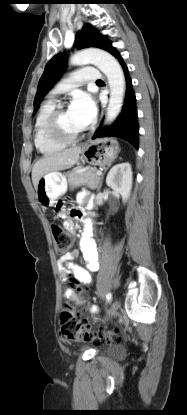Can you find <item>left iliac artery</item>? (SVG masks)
Listing matches in <instances>:
<instances>
[{
  "label": "left iliac artery",
  "mask_w": 187,
  "mask_h": 415,
  "mask_svg": "<svg viewBox=\"0 0 187 415\" xmlns=\"http://www.w3.org/2000/svg\"><path fill=\"white\" fill-rule=\"evenodd\" d=\"M111 299H112V294L111 293H108L106 295V300L109 302Z\"/></svg>",
  "instance_id": "obj_1"
}]
</instances>
